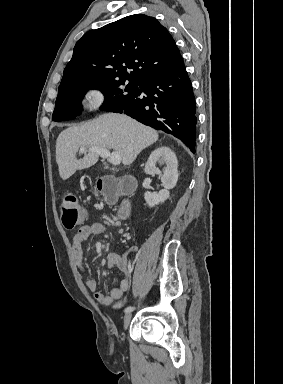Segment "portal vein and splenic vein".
<instances>
[{"mask_svg":"<svg viewBox=\"0 0 283 384\" xmlns=\"http://www.w3.org/2000/svg\"><path fill=\"white\" fill-rule=\"evenodd\" d=\"M90 152H96V154H99L101 158H109V162L111 164H114V166H118L121 162V158L118 154V152H112L110 154L109 150L107 148H97V146H93V148H89ZM80 152H86V148L84 146H81Z\"/></svg>","mask_w":283,"mask_h":384,"instance_id":"18ae733b","label":"portal vein and splenic vein"}]
</instances>
